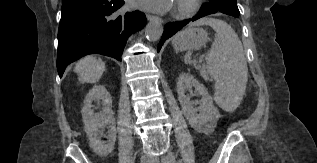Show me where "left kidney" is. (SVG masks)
I'll return each mask as SVG.
<instances>
[{
    "instance_id": "left-kidney-1",
    "label": "left kidney",
    "mask_w": 317,
    "mask_h": 163,
    "mask_svg": "<svg viewBox=\"0 0 317 163\" xmlns=\"http://www.w3.org/2000/svg\"><path fill=\"white\" fill-rule=\"evenodd\" d=\"M192 87L202 96L198 102V108L193 107L196 102L191 101L190 96L185 94ZM177 93L182 112L191 127L204 134H211L221 115L217 107L214 106L213 100L205 86L199 83L192 75L183 72L178 77Z\"/></svg>"
}]
</instances>
